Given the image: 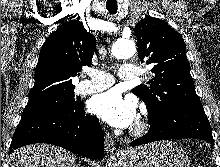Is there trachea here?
Wrapping results in <instances>:
<instances>
[{
	"mask_svg": "<svg viewBox=\"0 0 220 167\" xmlns=\"http://www.w3.org/2000/svg\"><path fill=\"white\" fill-rule=\"evenodd\" d=\"M106 9L111 13L115 14L117 12V6H106Z\"/></svg>",
	"mask_w": 220,
	"mask_h": 167,
	"instance_id": "trachea-1",
	"label": "trachea"
}]
</instances>
